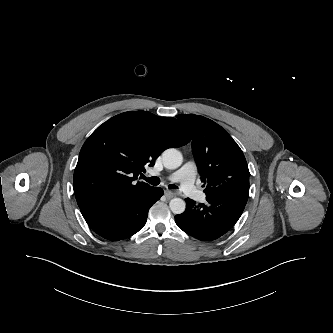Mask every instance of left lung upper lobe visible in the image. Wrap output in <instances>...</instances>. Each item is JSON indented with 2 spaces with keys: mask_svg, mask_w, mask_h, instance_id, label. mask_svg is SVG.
I'll return each mask as SVG.
<instances>
[{
  "mask_svg": "<svg viewBox=\"0 0 333 333\" xmlns=\"http://www.w3.org/2000/svg\"><path fill=\"white\" fill-rule=\"evenodd\" d=\"M176 117L192 134V151L205 193L224 183L249 178L244 154L224 128L203 116L180 114Z\"/></svg>",
  "mask_w": 333,
  "mask_h": 333,
  "instance_id": "left-lung-upper-lobe-1",
  "label": "left lung upper lobe"
}]
</instances>
